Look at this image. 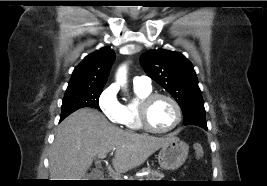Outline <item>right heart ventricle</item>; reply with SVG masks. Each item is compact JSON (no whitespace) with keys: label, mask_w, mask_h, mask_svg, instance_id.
Here are the masks:
<instances>
[{"label":"right heart ventricle","mask_w":267,"mask_h":186,"mask_svg":"<svg viewBox=\"0 0 267 186\" xmlns=\"http://www.w3.org/2000/svg\"><path fill=\"white\" fill-rule=\"evenodd\" d=\"M134 91L137 96V101H132L121 105V115L119 123L128 130L140 131L142 130V127L138 117V106L140 100L144 96L151 93V87L146 88L134 85Z\"/></svg>","instance_id":"obj_1"}]
</instances>
